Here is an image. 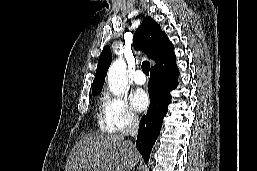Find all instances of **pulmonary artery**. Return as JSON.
Instances as JSON below:
<instances>
[{
  "mask_svg": "<svg viewBox=\"0 0 257 171\" xmlns=\"http://www.w3.org/2000/svg\"><path fill=\"white\" fill-rule=\"evenodd\" d=\"M133 81L137 85H143L146 82V77L145 74L143 73L142 70H136L134 75H133Z\"/></svg>",
  "mask_w": 257,
  "mask_h": 171,
  "instance_id": "obj_1",
  "label": "pulmonary artery"
}]
</instances>
